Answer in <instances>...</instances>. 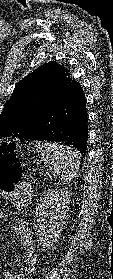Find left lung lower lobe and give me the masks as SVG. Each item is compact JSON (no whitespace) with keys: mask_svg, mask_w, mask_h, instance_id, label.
<instances>
[{"mask_svg":"<svg viewBox=\"0 0 113 279\" xmlns=\"http://www.w3.org/2000/svg\"><path fill=\"white\" fill-rule=\"evenodd\" d=\"M18 138L56 142L87 152L88 116L85 94L69 71L57 80L50 93L35 106L33 116Z\"/></svg>","mask_w":113,"mask_h":279,"instance_id":"left-lung-lower-lobe-1","label":"left lung lower lobe"}]
</instances>
